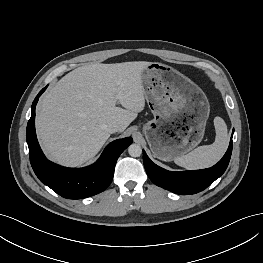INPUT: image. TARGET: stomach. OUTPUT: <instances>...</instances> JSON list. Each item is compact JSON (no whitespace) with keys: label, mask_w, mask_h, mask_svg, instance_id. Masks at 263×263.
<instances>
[{"label":"stomach","mask_w":263,"mask_h":263,"mask_svg":"<svg viewBox=\"0 0 263 263\" xmlns=\"http://www.w3.org/2000/svg\"><path fill=\"white\" fill-rule=\"evenodd\" d=\"M154 119L143 131L154 157L172 161L203 139L210 105L205 93L175 68L150 62L142 71Z\"/></svg>","instance_id":"1"}]
</instances>
